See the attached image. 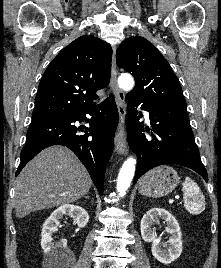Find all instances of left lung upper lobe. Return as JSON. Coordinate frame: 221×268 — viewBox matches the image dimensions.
I'll return each mask as SVG.
<instances>
[{
	"label": "left lung upper lobe",
	"instance_id": "1",
	"mask_svg": "<svg viewBox=\"0 0 221 268\" xmlns=\"http://www.w3.org/2000/svg\"><path fill=\"white\" fill-rule=\"evenodd\" d=\"M116 62L135 78V87L127 95L146 103L186 108L176 75L147 39L138 36L124 40L117 49Z\"/></svg>",
	"mask_w": 221,
	"mask_h": 268
}]
</instances>
